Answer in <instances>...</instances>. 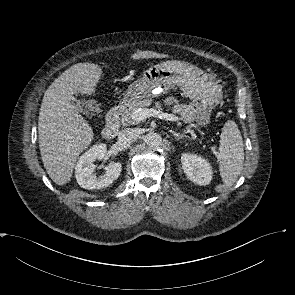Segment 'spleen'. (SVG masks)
Masks as SVG:
<instances>
[{
    "instance_id": "spleen-1",
    "label": "spleen",
    "mask_w": 295,
    "mask_h": 295,
    "mask_svg": "<svg viewBox=\"0 0 295 295\" xmlns=\"http://www.w3.org/2000/svg\"><path fill=\"white\" fill-rule=\"evenodd\" d=\"M220 175L224 187L232 186L243 169L244 147L237 124L228 120L220 135V146L217 154Z\"/></svg>"
}]
</instances>
